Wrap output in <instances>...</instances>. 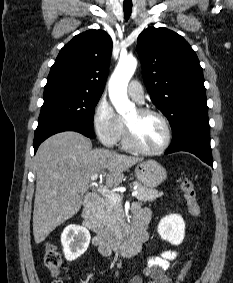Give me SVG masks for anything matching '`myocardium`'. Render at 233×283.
Wrapping results in <instances>:
<instances>
[{
    "mask_svg": "<svg viewBox=\"0 0 233 283\" xmlns=\"http://www.w3.org/2000/svg\"><path fill=\"white\" fill-rule=\"evenodd\" d=\"M137 112L139 115L141 116H145V115H155L157 117H159L166 129V140L164 142V144L159 147L158 149L155 150H150L147 149L145 147H143L142 145H140L135 137L134 131L132 129V127L125 121L124 122V127H125V136H126V141L129 145L130 148H132L133 150L145 154V155H159L163 152H165L171 142H172V128L170 125V122L168 120V118L160 111L153 109V108H138Z\"/></svg>",
    "mask_w": 233,
    "mask_h": 283,
    "instance_id": "obj_1",
    "label": "myocardium"
}]
</instances>
